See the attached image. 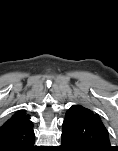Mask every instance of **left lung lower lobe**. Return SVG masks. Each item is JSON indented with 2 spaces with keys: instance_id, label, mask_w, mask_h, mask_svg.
Returning a JSON list of instances; mask_svg holds the SVG:
<instances>
[{
  "instance_id": "left-lung-lower-lobe-1",
  "label": "left lung lower lobe",
  "mask_w": 118,
  "mask_h": 151,
  "mask_svg": "<svg viewBox=\"0 0 118 151\" xmlns=\"http://www.w3.org/2000/svg\"><path fill=\"white\" fill-rule=\"evenodd\" d=\"M61 142L62 151H88L83 143L71 134L62 132Z\"/></svg>"
}]
</instances>
